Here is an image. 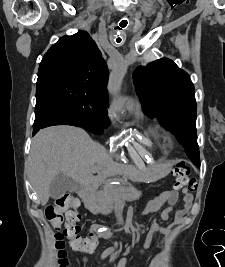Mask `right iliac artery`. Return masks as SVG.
<instances>
[{"label": "right iliac artery", "mask_w": 225, "mask_h": 267, "mask_svg": "<svg viewBox=\"0 0 225 267\" xmlns=\"http://www.w3.org/2000/svg\"><path fill=\"white\" fill-rule=\"evenodd\" d=\"M111 252H112V250H111L110 248H109V249H106V250L103 252L101 258L104 259V258L107 257Z\"/></svg>", "instance_id": "82829eb1"}]
</instances>
